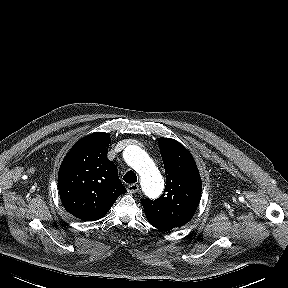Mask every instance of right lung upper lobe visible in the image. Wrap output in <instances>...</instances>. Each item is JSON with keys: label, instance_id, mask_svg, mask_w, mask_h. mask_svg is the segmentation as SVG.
<instances>
[{"label": "right lung upper lobe", "instance_id": "cb5924a9", "mask_svg": "<svg viewBox=\"0 0 288 288\" xmlns=\"http://www.w3.org/2000/svg\"><path fill=\"white\" fill-rule=\"evenodd\" d=\"M109 137L99 132L80 139L59 169L58 186L63 206L82 220L101 219L126 192L117 167L107 158Z\"/></svg>", "mask_w": 288, "mask_h": 288}]
</instances>
